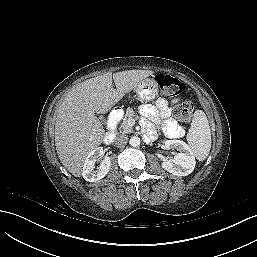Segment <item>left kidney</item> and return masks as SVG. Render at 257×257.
Segmentation results:
<instances>
[{"label": "left kidney", "instance_id": "left-kidney-1", "mask_svg": "<svg viewBox=\"0 0 257 257\" xmlns=\"http://www.w3.org/2000/svg\"><path fill=\"white\" fill-rule=\"evenodd\" d=\"M163 143L165 149L177 150L179 153L172 159H165L162 168L176 176H187L192 173L196 161L189 146L181 140H165Z\"/></svg>", "mask_w": 257, "mask_h": 257}]
</instances>
